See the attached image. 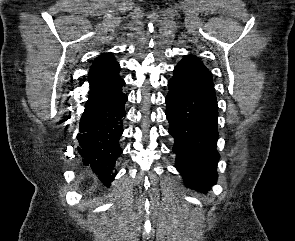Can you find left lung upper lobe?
Masks as SVG:
<instances>
[{
	"mask_svg": "<svg viewBox=\"0 0 295 241\" xmlns=\"http://www.w3.org/2000/svg\"><path fill=\"white\" fill-rule=\"evenodd\" d=\"M174 74L184 79L199 92L215 97L211 72L196 56H185L175 66Z\"/></svg>",
	"mask_w": 295,
	"mask_h": 241,
	"instance_id": "5c2ea615",
	"label": "left lung upper lobe"
}]
</instances>
